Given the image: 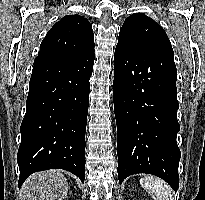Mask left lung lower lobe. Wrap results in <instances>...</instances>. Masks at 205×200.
Instances as JSON below:
<instances>
[{"label":"left lung lower lobe","instance_id":"left-lung-lower-lobe-1","mask_svg":"<svg viewBox=\"0 0 205 200\" xmlns=\"http://www.w3.org/2000/svg\"><path fill=\"white\" fill-rule=\"evenodd\" d=\"M176 80L173 49L135 52L116 46L113 101L120 184L132 174L148 173L178 189Z\"/></svg>","mask_w":205,"mask_h":200}]
</instances>
